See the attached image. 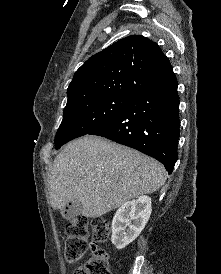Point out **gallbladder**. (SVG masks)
<instances>
[{"instance_id":"gallbladder-1","label":"gallbladder","mask_w":221,"mask_h":274,"mask_svg":"<svg viewBox=\"0 0 221 274\" xmlns=\"http://www.w3.org/2000/svg\"><path fill=\"white\" fill-rule=\"evenodd\" d=\"M83 209L82 204L78 200H73L70 205L68 206V209L63 211V216L65 218H74L81 214Z\"/></svg>"}]
</instances>
